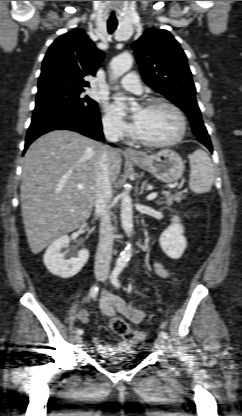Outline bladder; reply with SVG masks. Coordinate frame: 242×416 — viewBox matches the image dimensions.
Segmentation results:
<instances>
[{
    "mask_svg": "<svg viewBox=\"0 0 242 416\" xmlns=\"http://www.w3.org/2000/svg\"><path fill=\"white\" fill-rule=\"evenodd\" d=\"M109 357L114 358L111 362V366L118 367V366L123 365L122 360H119V358L127 357V354L126 353H124V354H121V353L120 354H114V353H112V354H109Z\"/></svg>",
    "mask_w": 242,
    "mask_h": 416,
    "instance_id": "obj_1",
    "label": "bladder"
}]
</instances>
